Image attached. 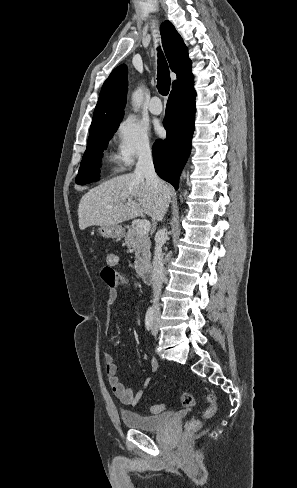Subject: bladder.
I'll use <instances>...</instances> for the list:
<instances>
[{
    "instance_id": "obj_1",
    "label": "bladder",
    "mask_w": 297,
    "mask_h": 488,
    "mask_svg": "<svg viewBox=\"0 0 297 488\" xmlns=\"http://www.w3.org/2000/svg\"><path fill=\"white\" fill-rule=\"evenodd\" d=\"M173 416V412L158 415H140L132 411L121 412V420L125 427L146 432L163 429L169 424Z\"/></svg>"
}]
</instances>
